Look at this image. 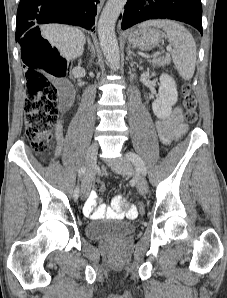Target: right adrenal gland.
<instances>
[{
  "label": "right adrenal gland",
  "instance_id": "2a0ac1e0",
  "mask_svg": "<svg viewBox=\"0 0 227 298\" xmlns=\"http://www.w3.org/2000/svg\"><path fill=\"white\" fill-rule=\"evenodd\" d=\"M87 43H88V46H89V48H90V51H91V53H92V58H93L94 55H95L94 47H93V45L91 44V42H90L89 39H87Z\"/></svg>",
  "mask_w": 227,
  "mask_h": 298
}]
</instances>
